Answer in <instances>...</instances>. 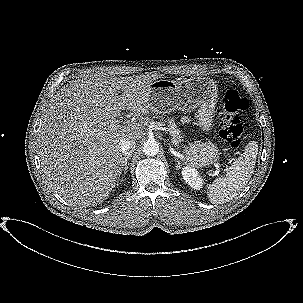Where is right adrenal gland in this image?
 Listing matches in <instances>:
<instances>
[{
    "instance_id": "1",
    "label": "right adrenal gland",
    "mask_w": 303,
    "mask_h": 303,
    "mask_svg": "<svg viewBox=\"0 0 303 303\" xmlns=\"http://www.w3.org/2000/svg\"><path fill=\"white\" fill-rule=\"evenodd\" d=\"M131 158V155L123 157V160L121 162V171H123V177L126 175L127 173V169H128V160ZM122 177V179H123Z\"/></svg>"
}]
</instances>
